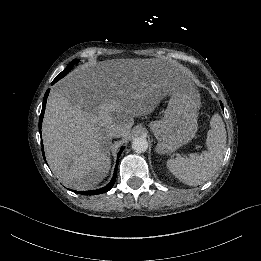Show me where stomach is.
Instances as JSON below:
<instances>
[{
	"mask_svg": "<svg viewBox=\"0 0 261 261\" xmlns=\"http://www.w3.org/2000/svg\"><path fill=\"white\" fill-rule=\"evenodd\" d=\"M200 95L193 85L175 91L162 120H151L148 127L157 139L158 154H173L197 133Z\"/></svg>",
	"mask_w": 261,
	"mask_h": 261,
	"instance_id": "obj_1",
	"label": "stomach"
}]
</instances>
